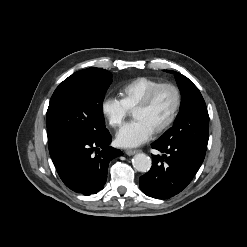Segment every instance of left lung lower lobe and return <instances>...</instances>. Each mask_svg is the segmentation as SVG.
<instances>
[{
  "mask_svg": "<svg viewBox=\"0 0 247 247\" xmlns=\"http://www.w3.org/2000/svg\"><path fill=\"white\" fill-rule=\"evenodd\" d=\"M152 148L164 154L153 155L151 169L140 177V189L147 196L169 198L191 182L203 163L207 146L191 140H156Z\"/></svg>",
  "mask_w": 247,
  "mask_h": 247,
  "instance_id": "obj_1",
  "label": "left lung lower lobe"
}]
</instances>
